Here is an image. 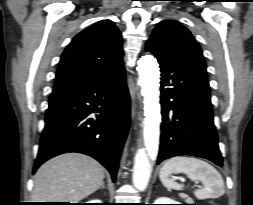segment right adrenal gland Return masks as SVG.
I'll list each match as a JSON object with an SVG mask.
<instances>
[{"label": "right adrenal gland", "mask_w": 253, "mask_h": 205, "mask_svg": "<svg viewBox=\"0 0 253 205\" xmlns=\"http://www.w3.org/2000/svg\"><path fill=\"white\" fill-rule=\"evenodd\" d=\"M106 187H105V183L103 182L102 183V185H101V187H100V189H105Z\"/></svg>", "instance_id": "1"}]
</instances>
